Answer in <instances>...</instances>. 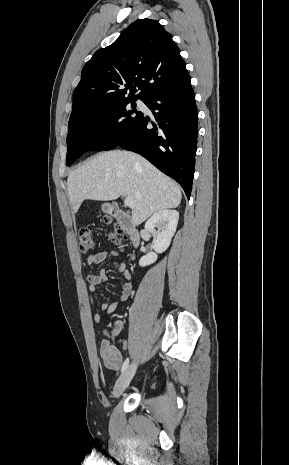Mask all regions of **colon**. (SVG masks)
Instances as JSON below:
<instances>
[{"label": "colon", "mask_w": 289, "mask_h": 465, "mask_svg": "<svg viewBox=\"0 0 289 465\" xmlns=\"http://www.w3.org/2000/svg\"><path fill=\"white\" fill-rule=\"evenodd\" d=\"M106 222H109L110 219L106 218ZM110 237L116 243L123 245L125 244L127 238L124 235V232L121 227L115 226L113 232H111ZM78 238H79V247L83 252L90 251L95 248L96 241L93 237L92 231L87 228L83 227L78 231Z\"/></svg>", "instance_id": "1"}]
</instances>
